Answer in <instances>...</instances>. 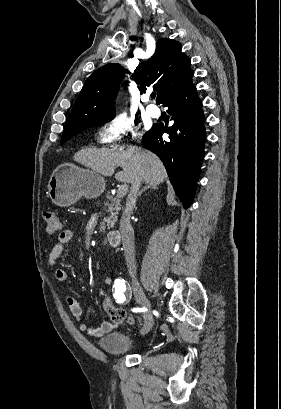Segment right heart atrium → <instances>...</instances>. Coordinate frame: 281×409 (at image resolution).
Here are the masks:
<instances>
[{
	"instance_id": "d8ad5b80",
	"label": "right heart atrium",
	"mask_w": 281,
	"mask_h": 409,
	"mask_svg": "<svg viewBox=\"0 0 281 409\" xmlns=\"http://www.w3.org/2000/svg\"><path fill=\"white\" fill-rule=\"evenodd\" d=\"M129 134L137 135L136 126L125 112V115H117L116 119L106 121L99 129L97 136L102 143H120Z\"/></svg>"
}]
</instances>
